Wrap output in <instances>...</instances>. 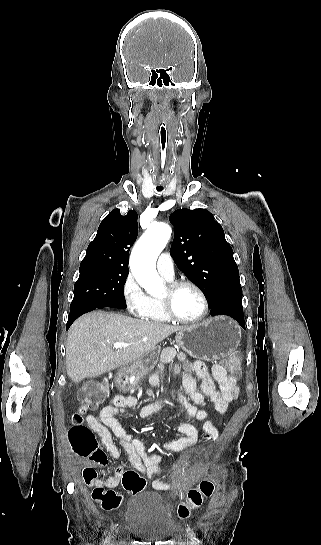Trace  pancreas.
I'll return each instance as SVG.
<instances>
[{
    "label": "pancreas",
    "instance_id": "1",
    "mask_svg": "<svg viewBox=\"0 0 321 545\" xmlns=\"http://www.w3.org/2000/svg\"><path fill=\"white\" fill-rule=\"evenodd\" d=\"M144 375H146V373H144ZM140 379H142L143 375H139Z\"/></svg>",
    "mask_w": 321,
    "mask_h": 545
}]
</instances>
